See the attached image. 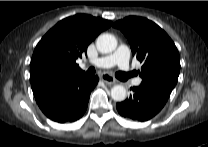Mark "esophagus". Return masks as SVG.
<instances>
[{
    "instance_id": "1",
    "label": "esophagus",
    "mask_w": 208,
    "mask_h": 147,
    "mask_svg": "<svg viewBox=\"0 0 208 147\" xmlns=\"http://www.w3.org/2000/svg\"><path fill=\"white\" fill-rule=\"evenodd\" d=\"M100 78L103 82H105L108 85H113L117 83V80L107 73L102 74Z\"/></svg>"
}]
</instances>
